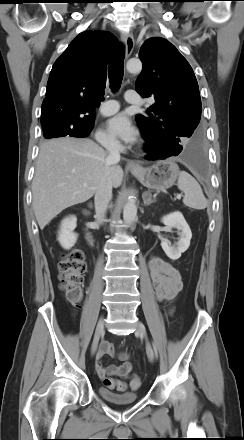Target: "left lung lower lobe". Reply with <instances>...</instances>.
I'll list each match as a JSON object with an SVG mask.
<instances>
[{"instance_id":"1","label":"left lung lower lobe","mask_w":244,"mask_h":440,"mask_svg":"<svg viewBox=\"0 0 244 440\" xmlns=\"http://www.w3.org/2000/svg\"><path fill=\"white\" fill-rule=\"evenodd\" d=\"M142 131L143 139L146 141L144 148L148 154L146 159H166L171 156L180 155L181 158L194 170L199 173H204L206 170L205 157L202 151L200 139L188 145L171 146L166 145L162 140L152 134Z\"/></svg>"}]
</instances>
